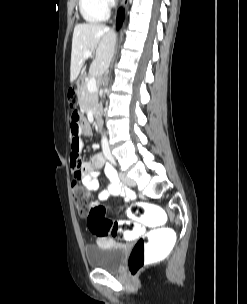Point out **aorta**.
<instances>
[{
	"label": "aorta",
	"mask_w": 247,
	"mask_h": 304,
	"mask_svg": "<svg viewBox=\"0 0 247 304\" xmlns=\"http://www.w3.org/2000/svg\"><path fill=\"white\" fill-rule=\"evenodd\" d=\"M101 145H102L103 151H109L108 139H107L105 133L102 135Z\"/></svg>",
	"instance_id": "obj_1"
}]
</instances>
